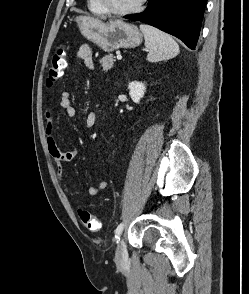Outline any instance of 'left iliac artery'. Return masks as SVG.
Listing matches in <instances>:
<instances>
[{
    "label": "left iliac artery",
    "mask_w": 249,
    "mask_h": 294,
    "mask_svg": "<svg viewBox=\"0 0 249 294\" xmlns=\"http://www.w3.org/2000/svg\"><path fill=\"white\" fill-rule=\"evenodd\" d=\"M123 228H124V224L121 223V224H119V225L117 226V228H116V230H115V240H116L117 243H118L119 240H120V235H121V233H122V231H123Z\"/></svg>",
    "instance_id": "obj_1"
}]
</instances>
